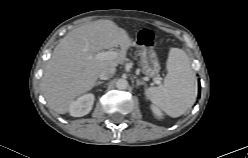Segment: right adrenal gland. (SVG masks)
I'll use <instances>...</instances> for the list:
<instances>
[{
  "instance_id": "right-adrenal-gland-1",
  "label": "right adrenal gland",
  "mask_w": 248,
  "mask_h": 158,
  "mask_svg": "<svg viewBox=\"0 0 248 158\" xmlns=\"http://www.w3.org/2000/svg\"><path fill=\"white\" fill-rule=\"evenodd\" d=\"M103 83H104L103 81H97L94 86H98V85H101Z\"/></svg>"
}]
</instances>
